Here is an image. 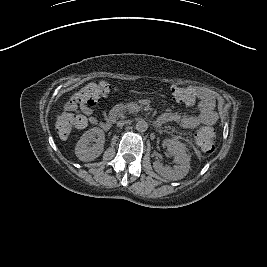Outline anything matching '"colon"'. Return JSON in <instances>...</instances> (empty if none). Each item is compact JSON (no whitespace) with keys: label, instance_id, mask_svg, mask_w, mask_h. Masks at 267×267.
Wrapping results in <instances>:
<instances>
[{"label":"colon","instance_id":"5ec220e1","mask_svg":"<svg viewBox=\"0 0 267 267\" xmlns=\"http://www.w3.org/2000/svg\"><path fill=\"white\" fill-rule=\"evenodd\" d=\"M115 88L108 83H92L82 88L76 98L80 104L94 105L106 101L114 93ZM173 99L181 104H187L190 94L183 88H175L171 92ZM83 117H76L72 114H63L57 121L56 131L60 138L69 137L73 126L85 125ZM196 144L203 154H210L216 148L215 132L211 128H203L196 133Z\"/></svg>","mask_w":267,"mask_h":267}]
</instances>
